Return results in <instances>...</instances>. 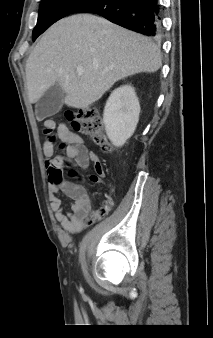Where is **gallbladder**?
Wrapping results in <instances>:
<instances>
[{
  "label": "gallbladder",
  "instance_id": "obj_1",
  "mask_svg": "<svg viewBox=\"0 0 213 338\" xmlns=\"http://www.w3.org/2000/svg\"><path fill=\"white\" fill-rule=\"evenodd\" d=\"M65 92L62 87L55 83L52 85L35 105L36 117L43 120L46 117L56 114L62 107Z\"/></svg>",
  "mask_w": 213,
  "mask_h": 338
}]
</instances>
